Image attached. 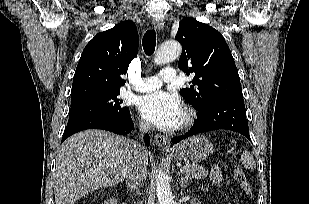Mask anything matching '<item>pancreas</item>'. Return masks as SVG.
Segmentation results:
<instances>
[{
	"label": "pancreas",
	"mask_w": 309,
	"mask_h": 204,
	"mask_svg": "<svg viewBox=\"0 0 309 204\" xmlns=\"http://www.w3.org/2000/svg\"><path fill=\"white\" fill-rule=\"evenodd\" d=\"M185 171L187 173V176H190L195 179H203L208 175L207 169H205L203 166H199L194 163H187L185 165Z\"/></svg>",
	"instance_id": "obj_1"
}]
</instances>
